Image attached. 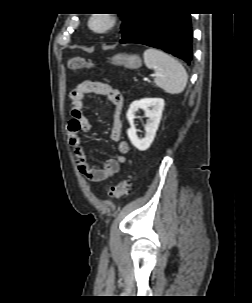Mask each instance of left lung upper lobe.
<instances>
[{
	"mask_svg": "<svg viewBox=\"0 0 252 303\" xmlns=\"http://www.w3.org/2000/svg\"><path fill=\"white\" fill-rule=\"evenodd\" d=\"M119 15L121 16V18L123 20L122 27H121V29H122L121 35H122V38H124L138 24L139 20L141 19L142 15H143V11L138 10L133 13L119 14Z\"/></svg>",
	"mask_w": 252,
	"mask_h": 303,
	"instance_id": "1",
	"label": "left lung upper lobe"
}]
</instances>
